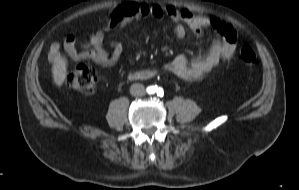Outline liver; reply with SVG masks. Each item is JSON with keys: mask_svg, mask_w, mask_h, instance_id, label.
Masks as SVG:
<instances>
[{"mask_svg": "<svg viewBox=\"0 0 299 190\" xmlns=\"http://www.w3.org/2000/svg\"><path fill=\"white\" fill-rule=\"evenodd\" d=\"M67 77V60L59 58L53 67V80L57 86H62Z\"/></svg>", "mask_w": 299, "mask_h": 190, "instance_id": "liver-1", "label": "liver"}]
</instances>
